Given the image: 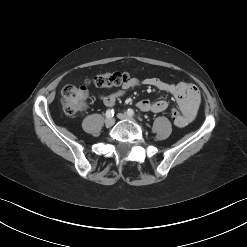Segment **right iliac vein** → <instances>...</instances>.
Wrapping results in <instances>:
<instances>
[{
  "label": "right iliac vein",
  "mask_w": 247,
  "mask_h": 247,
  "mask_svg": "<svg viewBox=\"0 0 247 247\" xmlns=\"http://www.w3.org/2000/svg\"><path fill=\"white\" fill-rule=\"evenodd\" d=\"M114 123H115V119L112 118V117L106 118V120H105V125H106L107 127L113 126Z\"/></svg>",
  "instance_id": "obj_1"
}]
</instances>
